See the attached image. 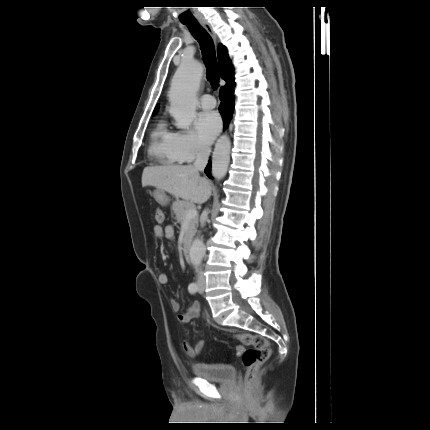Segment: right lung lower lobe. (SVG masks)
<instances>
[{
    "label": "right lung lower lobe",
    "instance_id": "1",
    "mask_svg": "<svg viewBox=\"0 0 430 430\" xmlns=\"http://www.w3.org/2000/svg\"><path fill=\"white\" fill-rule=\"evenodd\" d=\"M234 85L228 86L226 88H224L223 90H220V99H221V104L219 107V111L222 114V118H223V123H224V127L226 128L227 125L229 124L231 117H232V113H233V109H234ZM210 171H211V165L210 162L207 165L206 169H205V173L207 174V176L209 178H211L210 176Z\"/></svg>",
    "mask_w": 430,
    "mask_h": 430
}]
</instances>
